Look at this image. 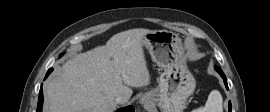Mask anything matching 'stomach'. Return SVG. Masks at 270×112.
I'll return each mask as SVG.
<instances>
[{
	"label": "stomach",
	"mask_w": 270,
	"mask_h": 112,
	"mask_svg": "<svg viewBox=\"0 0 270 112\" xmlns=\"http://www.w3.org/2000/svg\"><path fill=\"white\" fill-rule=\"evenodd\" d=\"M152 60L163 69L158 87L147 95L162 112H182L196 81L187 68V55L180 37L168 30H153L143 38Z\"/></svg>",
	"instance_id": "obj_1"
}]
</instances>
